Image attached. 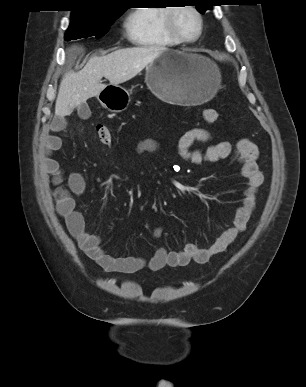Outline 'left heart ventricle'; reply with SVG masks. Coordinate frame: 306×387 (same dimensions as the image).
I'll return each mask as SVG.
<instances>
[{"instance_id": "b2bd125f", "label": "left heart ventricle", "mask_w": 306, "mask_h": 387, "mask_svg": "<svg viewBox=\"0 0 306 387\" xmlns=\"http://www.w3.org/2000/svg\"><path fill=\"white\" fill-rule=\"evenodd\" d=\"M175 24L179 32L187 37L193 38L198 32V19L196 15L188 9H180L175 15Z\"/></svg>"}]
</instances>
